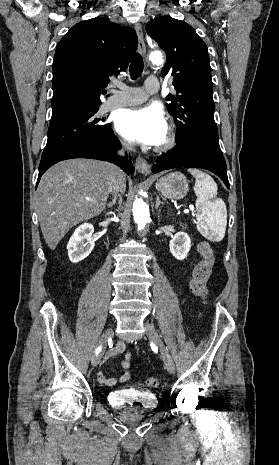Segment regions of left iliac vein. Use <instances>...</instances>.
Returning <instances> with one entry per match:
<instances>
[{"label": "left iliac vein", "instance_id": "obj_1", "mask_svg": "<svg viewBox=\"0 0 279 465\" xmlns=\"http://www.w3.org/2000/svg\"><path fill=\"white\" fill-rule=\"evenodd\" d=\"M144 328H145V332H146V335L148 336V338L159 348V351H160L161 356H162V358L164 360V363H165L166 370L170 374H174L175 373L174 363H173V361H172V359H171V357L169 355V352H168L167 348L165 347L162 339L160 338L158 332L156 331L154 326L151 325L148 322L144 323Z\"/></svg>", "mask_w": 279, "mask_h": 465}]
</instances>
